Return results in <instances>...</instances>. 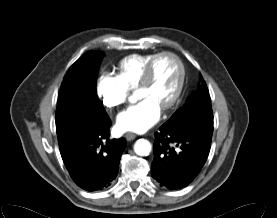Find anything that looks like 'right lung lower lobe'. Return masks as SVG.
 I'll list each match as a JSON object with an SVG mask.
<instances>
[{
	"mask_svg": "<svg viewBox=\"0 0 277 218\" xmlns=\"http://www.w3.org/2000/svg\"><path fill=\"white\" fill-rule=\"evenodd\" d=\"M109 117L93 132L61 151L63 162L73 181L82 189L107 188L118 174L124 138L109 140Z\"/></svg>",
	"mask_w": 277,
	"mask_h": 218,
	"instance_id": "98d812e1",
	"label": "right lung lower lobe"
}]
</instances>
